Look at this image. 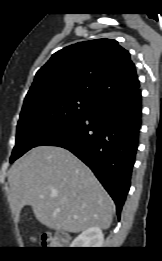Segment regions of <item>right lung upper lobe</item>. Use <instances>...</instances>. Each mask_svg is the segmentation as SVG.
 I'll return each mask as SVG.
<instances>
[{"instance_id": "1", "label": "right lung upper lobe", "mask_w": 162, "mask_h": 261, "mask_svg": "<svg viewBox=\"0 0 162 261\" xmlns=\"http://www.w3.org/2000/svg\"><path fill=\"white\" fill-rule=\"evenodd\" d=\"M139 88L130 54L112 39L79 42L54 53L36 73L25 100L79 95L96 102Z\"/></svg>"}]
</instances>
